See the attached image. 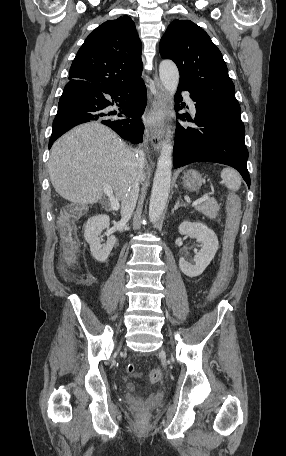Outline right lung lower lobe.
Here are the masks:
<instances>
[{"mask_svg": "<svg viewBox=\"0 0 286 456\" xmlns=\"http://www.w3.org/2000/svg\"><path fill=\"white\" fill-rule=\"evenodd\" d=\"M146 86L143 80L113 89H100L92 83L70 80L59 100L49 142H53L76 125L99 121L109 126L133 144L143 141V124L138 120L146 106ZM113 105L118 111H111ZM131 117V118H130Z\"/></svg>", "mask_w": 286, "mask_h": 456, "instance_id": "1", "label": "right lung lower lobe"}]
</instances>
